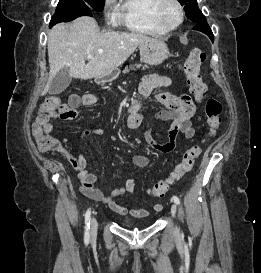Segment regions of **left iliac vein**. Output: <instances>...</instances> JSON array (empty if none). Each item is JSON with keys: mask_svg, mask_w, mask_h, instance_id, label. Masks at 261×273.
Returning a JSON list of instances; mask_svg holds the SVG:
<instances>
[{"mask_svg": "<svg viewBox=\"0 0 261 273\" xmlns=\"http://www.w3.org/2000/svg\"><path fill=\"white\" fill-rule=\"evenodd\" d=\"M171 214L172 216L175 218L176 214H177V207L175 204L171 205ZM175 234H179V229L177 227H175Z\"/></svg>", "mask_w": 261, "mask_h": 273, "instance_id": "left-iliac-vein-1", "label": "left iliac vein"}]
</instances>
